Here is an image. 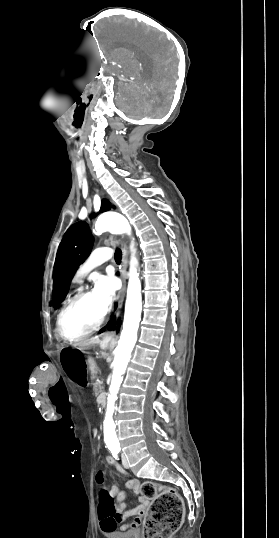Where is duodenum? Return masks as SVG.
Masks as SVG:
<instances>
[{
	"label": "duodenum",
	"mask_w": 279,
	"mask_h": 538,
	"mask_svg": "<svg viewBox=\"0 0 279 538\" xmlns=\"http://www.w3.org/2000/svg\"><path fill=\"white\" fill-rule=\"evenodd\" d=\"M92 369H93V377H91V382H96V377H98V372L96 371L99 369V366L97 364H94L92 366ZM97 400L99 401V405L101 407H104L106 405V402L104 401L105 397L103 395H99L97 397Z\"/></svg>",
	"instance_id": "duodenum-1"
}]
</instances>
